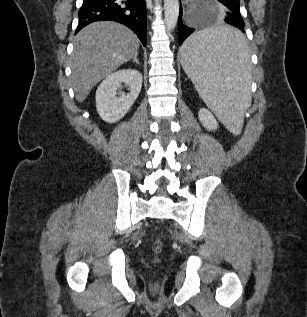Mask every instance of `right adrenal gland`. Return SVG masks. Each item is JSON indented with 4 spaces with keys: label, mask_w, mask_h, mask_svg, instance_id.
<instances>
[{
    "label": "right adrenal gland",
    "mask_w": 307,
    "mask_h": 317,
    "mask_svg": "<svg viewBox=\"0 0 307 317\" xmlns=\"http://www.w3.org/2000/svg\"><path fill=\"white\" fill-rule=\"evenodd\" d=\"M133 62H135L137 65H139V61H138V59H137V55H135V56L133 57Z\"/></svg>",
    "instance_id": "right-adrenal-gland-1"
}]
</instances>
